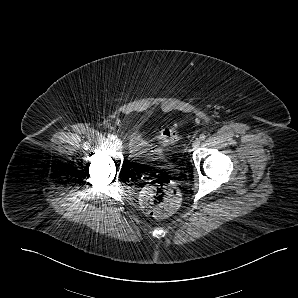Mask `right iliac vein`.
Wrapping results in <instances>:
<instances>
[{"mask_svg":"<svg viewBox=\"0 0 298 298\" xmlns=\"http://www.w3.org/2000/svg\"><path fill=\"white\" fill-rule=\"evenodd\" d=\"M114 143H115V146L119 149L122 148L123 146L122 141L120 139H116Z\"/></svg>","mask_w":298,"mask_h":298,"instance_id":"63e3f726","label":"right iliac vein"}]
</instances>
